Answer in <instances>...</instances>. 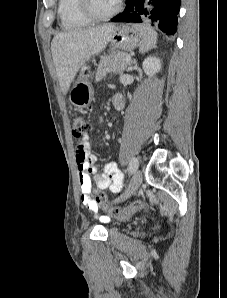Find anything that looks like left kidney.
<instances>
[{
  "label": "left kidney",
  "instance_id": "1",
  "mask_svg": "<svg viewBox=\"0 0 227 298\" xmlns=\"http://www.w3.org/2000/svg\"><path fill=\"white\" fill-rule=\"evenodd\" d=\"M161 69V61L156 57H147L143 61V70L148 76H153Z\"/></svg>",
  "mask_w": 227,
  "mask_h": 298
}]
</instances>
